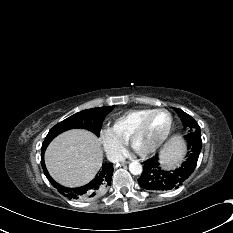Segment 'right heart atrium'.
<instances>
[{
	"label": "right heart atrium",
	"instance_id": "right-heart-atrium-1",
	"mask_svg": "<svg viewBox=\"0 0 233 233\" xmlns=\"http://www.w3.org/2000/svg\"><path fill=\"white\" fill-rule=\"evenodd\" d=\"M100 142L109 158L118 160L123 156L125 152L124 145L112 137L108 132L100 133Z\"/></svg>",
	"mask_w": 233,
	"mask_h": 233
}]
</instances>
